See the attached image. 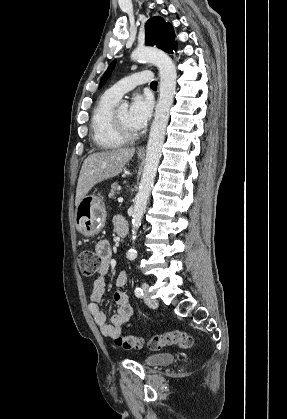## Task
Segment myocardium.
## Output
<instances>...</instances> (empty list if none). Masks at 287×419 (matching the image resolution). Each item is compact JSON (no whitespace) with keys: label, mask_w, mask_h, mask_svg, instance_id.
I'll list each match as a JSON object with an SVG mask.
<instances>
[{"label":"myocardium","mask_w":287,"mask_h":419,"mask_svg":"<svg viewBox=\"0 0 287 419\" xmlns=\"http://www.w3.org/2000/svg\"><path fill=\"white\" fill-rule=\"evenodd\" d=\"M111 124H112V128H113L115 134L123 142L133 141L137 138L136 133L130 132L122 126V124L120 123V121L117 117L116 110L112 111Z\"/></svg>","instance_id":"f54148a6"}]
</instances>
